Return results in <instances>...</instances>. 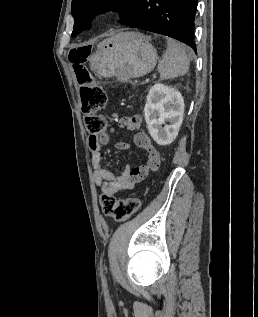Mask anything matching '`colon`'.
Masks as SVG:
<instances>
[{"instance_id": "5ec220e1", "label": "colon", "mask_w": 258, "mask_h": 317, "mask_svg": "<svg viewBox=\"0 0 258 317\" xmlns=\"http://www.w3.org/2000/svg\"><path fill=\"white\" fill-rule=\"evenodd\" d=\"M90 54L87 47L74 48L69 53L74 73L79 86L82 112L86 128L92 135L102 134L105 128L104 118L101 115L105 107L107 96L104 89L97 84L85 67ZM139 198L116 199L112 195L102 194L100 206L103 213L116 220L124 221L134 215L141 207Z\"/></svg>"}]
</instances>
